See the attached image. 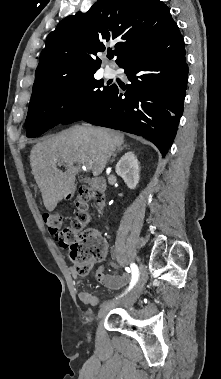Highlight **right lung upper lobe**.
Wrapping results in <instances>:
<instances>
[{
    "label": "right lung upper lobe",
    "instance_id": "1",
    "mask_svg": "<svg viewBox=\"0 0 221 379\" xmlns=\"http://www.w3.org/2000/svg\"><path fill=\"white\" fill-rule=\"evenodd\" d=\"M175 24L160 0H98L87 13L77 12L60 21L48 35L32 97L56 81L95 73L101 65L96 54L109 42L120 40L115 45L119 64Z\"/></svg>",
    "mask_w": 221,
    "mask_h": 379
}]
</instances>
